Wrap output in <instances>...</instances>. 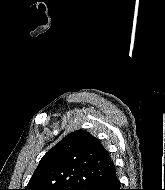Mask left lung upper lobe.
Returning <instances> with one entry per match:
<instances>
[{
  "instance_id": "5c2ea615",
  "label": "left lung upper lobe",
  "mask_w": 165,
  "mask_h": 190,
  "mask_svg": "<svg viewBox=\"0 0 165 190\" xmlns=\"http://www.w3.org/2000/svg\"><path fill=\"white\" fill-rule=\"evenodd\" d=\"M113 167L100 141L77 130L42 157L24 190H94Z\"/></svg>"
}]
</instances>
